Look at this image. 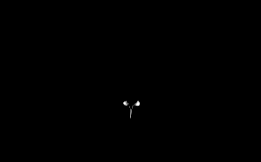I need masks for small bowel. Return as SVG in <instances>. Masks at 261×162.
<instances>
[{"label":"small bowel","instance_id":"c3829d8e","mask_svg":"<svg viewBox=\"0 0 261 162\" xmlns=\"http://www.w3.org/2000/svg\"><path fill=\"white\" fill-rule=\"evenodd\" d=\"M186 49L192 53H197L200 55L205 54L204 49L198 44L194 43V41L191 38H189L186 42Z\"/></svg>","mask_w":261,"mask_h":162}]
</instances>
